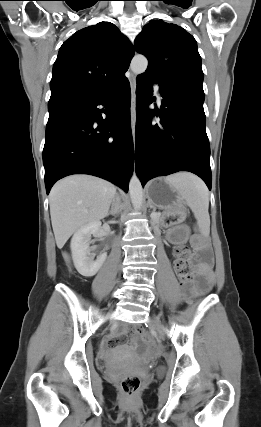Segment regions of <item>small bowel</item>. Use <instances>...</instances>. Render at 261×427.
<instances>
[{"label":"small bowel","mask_w":261,"mask_h":427,"mask_svg":"<svg viewBox=\"0 0 261 427\" xmlns=\"http://www.w3.org/2000/svg\"><path fill=\"white\" fill-rule=\"evenodd\" d=\"M204 285V282L199 281L196 286H192L191 288H188L186 291L188 294H193L196 292V290ZM123 343V340L120 336H111L107 339V345L109 347H116Z\"/></svg>","instance_id":"1"}]
</instances>
